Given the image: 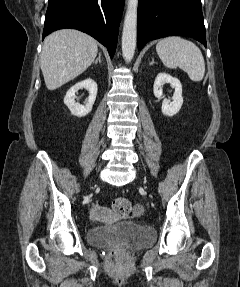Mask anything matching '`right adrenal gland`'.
Returning <instances> with one entry per match:
<instances>
[{
	"label": "right adrenal gland",
	"mask_w": 240,
	"mask_h": 287,
	"mask_svg": "<svg viewBox=\"0 0 240 287\" xmlns=\"http://www.w3.org/2000/svg\"><path fill=\"white\" fill-rule=\"evenodd\" d=\"M97 62L101 63V53L99 52V56L98 58L95 60V64H97Z\"/></svg>",
	"instance_id": "1"
}]
</instances>
